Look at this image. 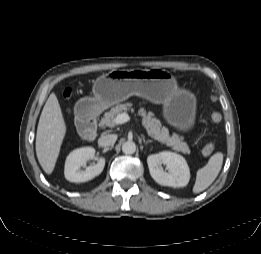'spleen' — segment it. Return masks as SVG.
<instances>
[{
    "label": "spleen",
    "instance_id": "obj_1",
    "mask_svg": "<svg viewBox=\"0 0 261 254\" xmlns=\"http://www.w3.org/2000/svg\"><path fill=\"white\" fill-rule=\"evenodd\" d=\"M223 163V154L215 153L210 157L208 163L197 171L196 181L193 187L195 194L207 189L217 178Z\"/></svg>",
    "mask_w": 261,
    "mask_h": 254
}]
</instances>
